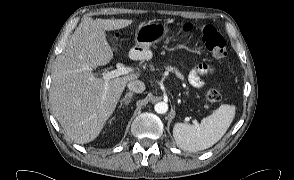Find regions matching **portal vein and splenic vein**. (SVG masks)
Instances as JSON below:
<instances>
[{
	"instance_id": "obj_1",
	"label": "portal vein and splenic vein",
	"mask_w": 294,
	"mask_h": 180,
	"mask_svg": "<svg viewBox=\"0 0 294 180\" xmlns=\"http://www.w3.org/2000/svg\"><path fill=\"white\" fill-rule=\"evenodd\" d=\"M132 72H134L133 68L124 66L122 63H117L115 70L107 71V72L102 73L101 78L107 84V82L110 79H113V78H116V77H119V76H122V75H127V74L132 73Z\"/></svg>"
}]
</instances>
